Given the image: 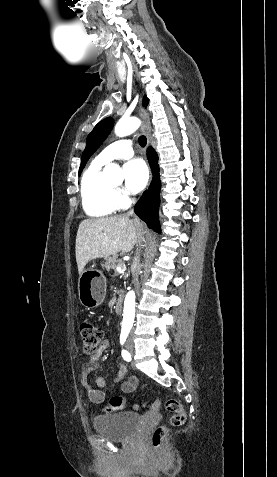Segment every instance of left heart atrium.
I'll return each mask as SVG.
<instances>
[{
	"mask_svg": "<svg viewBox=\"0 0 277 477\" xmlns=\"http://www.w3.org/2000/svg\"><path fill=\"white\" fill-rule=\"evenodd\" d=\"M125 187L131 193H138L148 182L149 173L145 163L140 159L127 162L124 167Z\"/></svg>",
	"mask_w": 277,
	"mask_h": 477,
	"instance_id": "left-heart-atrium-1",
	"label": "left heart atrium"
}]
</instances>
